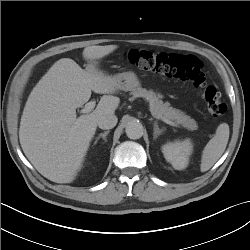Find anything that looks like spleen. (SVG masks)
<instances>
[{
	"label": "spleen",
	"instance_id": "obj_1",
	"mask_svg": "<svg viewBox=\"0 0 250 250\" xmlns=\"http://www.w3.org/2000/svg\"><path fill=\"white\" fill-rule=\"evenodd\" d=\"M229 125L220 124L214 137L206 144L201 156V172L208 171L224 153L229 139Z\"/></svg>",
	"mask_w": 250,
	"mask_h": 250
}]
</instances>
